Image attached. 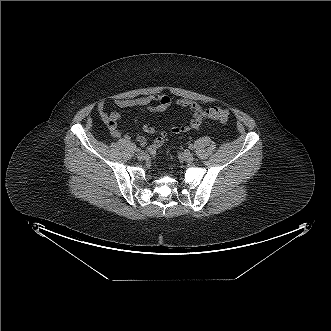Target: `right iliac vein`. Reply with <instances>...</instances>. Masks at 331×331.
<instances>
[{"instance_id": "right-iliac-vein-1", "label": "right iliac vein", "mask_w": 331, "mask_h": 331, "mask_svg": "<svg viewBox=\"0 0 331 331\" xmlns=\"http://www.w3.org/2000/svg\"><path fill=\"white\" fill-rule=\"evenodd\" d=\"M137 158L142 161L146 158V154L142 151L141 153H138Z\"/></svg>"}]
</instances>
